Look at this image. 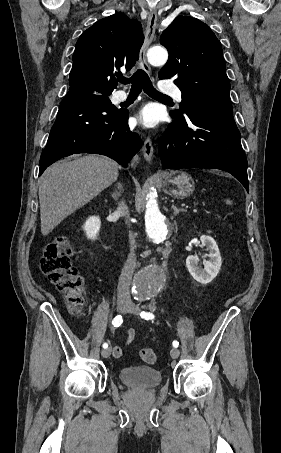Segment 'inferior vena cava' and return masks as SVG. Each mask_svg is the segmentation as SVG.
Segmentation results:
<instances>
[{
  "instance_id": "1",
  "label": "inferior vena cava",
  "mask_w": 281,
  "mask_h": 453,
  "mask_svg": "<svg viewBox=\"0 0 281 453\" xmlns=\"http://www.w3.org/2000/svg\"><path fill=\"white\" fill-rule=\"evenodd\" d=\"M116 214H123L126 216L129 210H127L126 204L122 202L120 206H118L117 210H115ZM129 243H130V253L128 255V259L125 263L124 269H122V273L119 277L118 289H117V299L118 301H129L131 303L130 297V285L136 265V255L134 249H136L135 245V235L132 231H129Z\"/></svg>"
}]
</instances>
